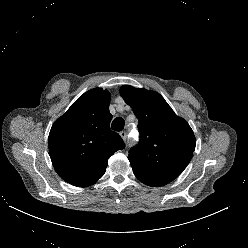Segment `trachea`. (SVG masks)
<instances>
[{
	"label": "trachea",
	"instance_id": "1",
	"mask_svg": "<svg viewBox=\"0 0 248 248\" xmlns=\"http://www.w3.org/2000/svg\"><path fill=\"white\" fill-rule=\"evenodd\" d=\"M124 120L121 117H117L113 120L111 128L114 131H122L124 129Z\"/></svg>",
	"mask_w": 248,
	"mask_h": 248
}]
</instances>
